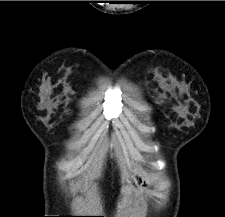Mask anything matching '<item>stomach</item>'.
I'll list each match as a JSON object with an SVG mask.
<instances>
[{
  "label": "stomach",
  "mask_w": 225,
  "mask_h": 217,
  "mask_svg": "<svg viewBox=\"0 0 225 217\" xmlns=\"http://www.w3.org/2000/svg\"><path fill=\"white\" fill-rule=\"evenodd\" d=\"M127 181H128V183L134 182L135 184H140V183L143 184L144 183V179L141 178L139 175H132L130 177V179Z\"/></svg>",
  "instance_id": "1"
}]
</instances>
